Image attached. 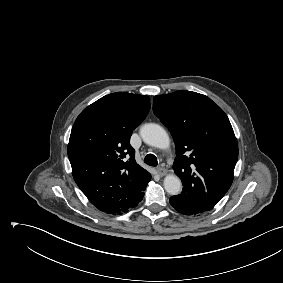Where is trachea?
Segmentation results:
<instances>
[{"label": "trachea", "instance_id": "trachea-1", "mask_svg": "<svg viewBox=\"0 0 283 283\" xmlns=\"http://www.w3.org/2000/svg\"><path fill=\"white\" fill-rule=\"evenodd\" d=\"M144 162L149 165V166H153L156 167L158 165V161L155 155L153 154H148L146 155V157L144 158Z\"/></svg>", "mask_w": 283, "mask_h": 283}]
</instances>
